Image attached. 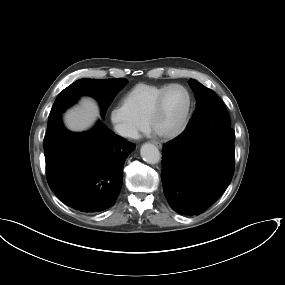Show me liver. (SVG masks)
<instances>
[{"label": "liver", "instance_id": "1", "mask_svg": "<svg viewBox=\"0 0 285 285\" xmlns=\"http://www.w3.org/2000/svg\"><path fill=\"white\" fill-rule=\"evenodd\" d=\"M97 117L99 109L96 102L90 98H83L78 106L67 111L64 123L69 130L81 132L89 129Z\"/></svg>", "mask_w": 285, "mask_h": 285}]
</instances>
